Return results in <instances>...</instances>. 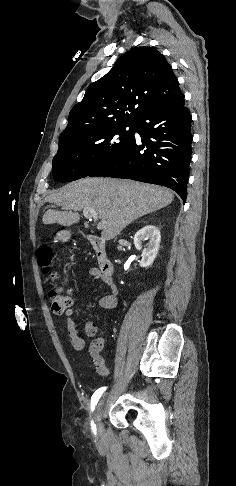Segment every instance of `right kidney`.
Here are the masks:
<instances>
[{
	"mask_svg": "<svg viewBox=\"0 0 236 486\" xmlns=\"http://www.w3.org/2000/svg\"><path fill=\"white\" fill-rule=\"evenodd\" d=\"M145 240H149V242L142 249V243ZM160 240V231L153 225H146L135 234L134 245L137 250H142L140 267L147 268L153 264L159 250Z\"/></svg>",
	"mask_w": 236,
	"mask_h": 486,
	"instance_id": "ca27d5eb",
	"label": "right kidney"
}]
</instances>
